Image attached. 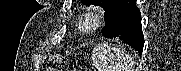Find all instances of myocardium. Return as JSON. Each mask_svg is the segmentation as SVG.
I'll use <instances>...</instances> for the list:
<instances>
[{
  "mask_svg": "<svg viewBox=\"0 0 181 71\" xmlns=\"http://www.w3.org/2000/svg\"><path fill=\"white\" fill-rule=\"evenodd\" d=\"M102 24V17L95 11L86 12L78 23L80 32L88 34L97 30Z\"/></svg>",
  "mask_w": 181,
  "mask_h": 71,
  "instance_id": "myocardium-1",
  "label": "myocardium"
}]
</instances>
